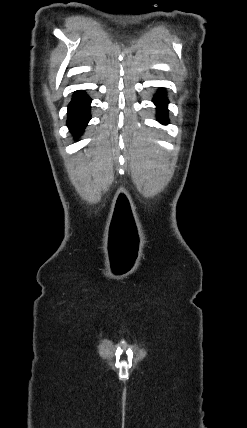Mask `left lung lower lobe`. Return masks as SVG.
Segmentation results:
<instances>
[{"label": "left lung lower lobe", "instance_id": "0a47b994", "mask_svg": "<svg viewBox=\"0 0 247 428\" xmlns=\"http://www.w3.org/2000/svg\"><path fill=\"white\" fill-rule=\"evenodd\" d=\"M153 102L156 104L157 106V110H158V121L160 123L163 124H168L169 121L167 119V104H168V100L166 98L165 92L164 91H160L157 95V97H155V99L153 100Z\"/></svg>", "mask_w": 247, "mask_h": 428}]
</instances>
